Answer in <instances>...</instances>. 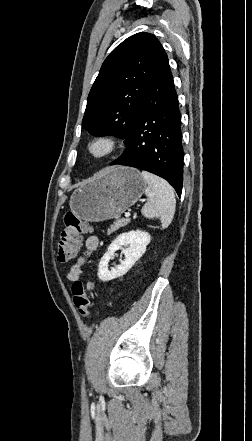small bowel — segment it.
<instances>
[{"instance_id": "c3829d8e", "label": "small bowel", "mask_w": 252, "mask_h": 441, "mask_svg": "<svg viewBox=\"0 0 252 441\" xmlns=\"http://www.w3.org/2000/svg\"><path fill=\"white\" fill-rule=\"evenodd\" d=\"M99 245V239L95 235L89 236L84 244V248L75 259L74 264L69 270L68 279L70 281L78 280L83 268L89 263L92 253L97 249ZM88 291H93L94 285L92 282H88L86 285Z\"/></svg>"}]
</instances>
